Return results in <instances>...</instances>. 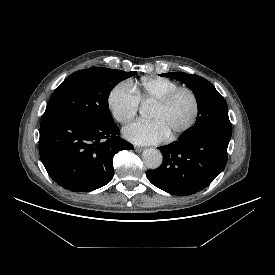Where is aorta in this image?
<instances>
[{
    "mask_svg": "<svg viewBox=\"0 0 275 275\" xmlns=\"http://www.w3.org/2000/svg\"><path fill=\"white\" fill-rule=\"evenodd\" d=\"M148 112V105H142L139 109V113L142 117H147ZM142 159L146 167L149 169H157L162 164V154L155 148L144 150L142 153Z\"/></svg>",
    "mask_w": 275,
    "mask_h": 275,
    "instance_id": "762f6f07",
    "label": "aorta"
}]
</instances>
